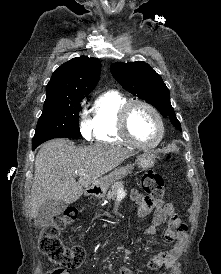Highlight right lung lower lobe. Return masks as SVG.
Instances as JSON below:
<instances>
[{"label":"right lung lower lobe","mask_w":221,"mask_h":274,"mask_svg":"<svg viewBox=\"0 0 221 274\" xmlns=\"http://www.w3.org/2000/svg\"><path fill=\"white\" fill-rule=\"evenodd\" d=\"M32 148H33V150H34V149H36L37 147H32Z\"/></svg>","instance_id":"1"}]
</instances>
